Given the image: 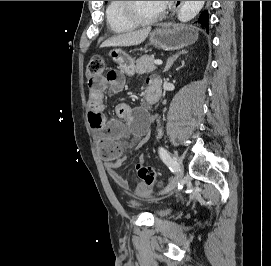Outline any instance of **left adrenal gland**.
Here are the masks:
<instances>
[{
	"mask_svg": "<svg viewBox=\"0 0 271 266\" xmlns=\"http://www.w3.org/2000/svg\"><path fill=\"white\" fill-rule=\"evenodd\" d=\"M187 51L186 50H182L179 53H177L176 55H174L173 57L168 58L165 69L163 72H167L170 70V68L173 66L174 62L179 58V56L186 54Z\"/></svg>",
	"mask_w": 271,
	"mask_h": 266,
	"instance_id": "left-adrenal-gland-1",
	"label": "left adrenal gland"
}]
</instances>
